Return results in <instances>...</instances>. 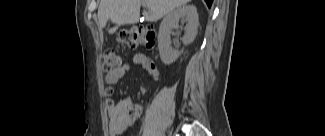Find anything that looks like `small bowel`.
<instances>
[{
	"label": "small bowel",
	"instance_id": "small-bowel-1",
	"mask_svg": "<svg viewBox=\"0 0 325 136\" xmlns=\"http://www.w3.org/2000/svg\"><path fill=\"white\" fill-rule=\"evenodd\" d=\"M132 63L141 66L153 80L160 77L159 70L155 62L143 53H137L133 56ZM131 68L130 62H124L115 70L106 73L105 82L109 85L116 84ZM108 98L106 100L108 133L110 136L123 134L131 128L143 113V105L133 101L130 97H123L115 101L112 91L107 90Z\"/></svg>",
	"mask_w": 325,
	"mask_h": 136
}]
</instances>
